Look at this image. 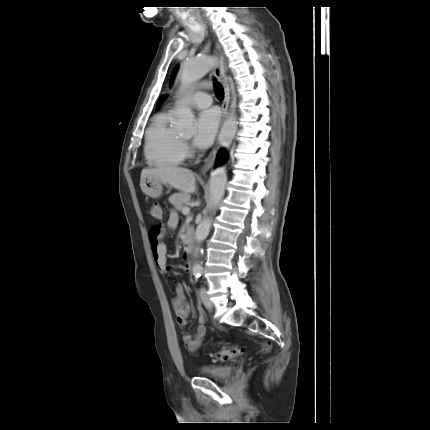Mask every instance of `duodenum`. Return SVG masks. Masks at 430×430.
Masks as SVG:
<instances>
[{
    "instance_id": "410a0bca",
    "label": "duodenum",
    "mask_w": 430,
    "mask_h": 430,
    "mask_svg": "<svg viewBox=\"0 0 430 430\" xmlns=\"http://www.w3.org/2000/svg\"><path fill=\"white\" fill-rule=\"evenodd\" d=\"M193 247V240L190 233L186 234L183 240V250L185 253H190Z\"/></svg>"
}]
</instances>
